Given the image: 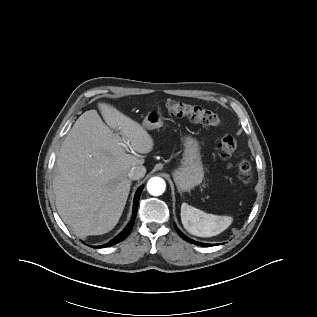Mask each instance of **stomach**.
<instances>
[{"instance_id":"stomach-1","label":"stomach","mask_w":317,"mask_h":317,"mask_svg":"<svg viewBox=\"0 0 317 317\" xmlns=\"http://www.w3.org/2000/svg\"><path fill=\"white\" fill-rule=\"evenodd\" d=\"M163 125L162 116L158 110L147 113L143 126L148 130L160 128ZM184 153L181 163L172 172L173 179L179 192H187L199 185L204 178L203 164L201 161L200 145L191 135H184Z\"/></svg>"}]
</instances>
